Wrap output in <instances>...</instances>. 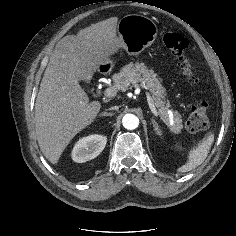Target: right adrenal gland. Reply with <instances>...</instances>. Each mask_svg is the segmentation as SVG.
<instances>
[{
  "label": "right adrenal gland",
  "instance_id": "right-adrenal-gland-1",
  "mask_svg": "<svg viewBox=\"0 0 236 236\" xmlns=\"http://www.w3.org/2000/svg\"><path fill=\"white\" fill-rule=\"evenodd\" d=\"M113 113L103 112L100 114V116H112Z\"/></svg>",
  "mask_w": 236,
  "mask_h": 236
}]
</instances>
